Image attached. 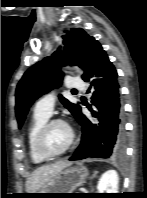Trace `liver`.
Wrapping results in <instances>:
<instances>
[{
	"label": "liver",
	"instance_id": "obj_1",
	"mask_svg": "<svg viewBox=\"0 0 147 198\" xmlns=\"http://www.w3.org/2000/svg\"><path fill=\"white\" fill-rule=\"evenodd\" d=\"M68 161H59L51 165H44L37 168L26 181L27 193H35L40 190L48 181L54 178L64 168L70 166Z\"/></svg>",
	"mask_w": 147,
	"mask_h": 198
}]
</instances>
